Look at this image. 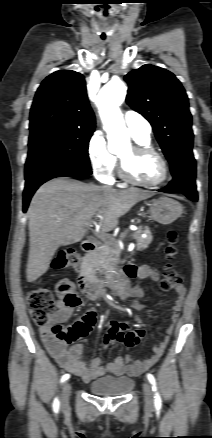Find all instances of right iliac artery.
Listing matches in <instances>:
<instances>
[{"mask_svg":"<svg viewBox=\"0 0 212 438\" xmlns=\"http://www.w3.org/2000/svg\"><path fill=\"white\" fill-rule=\"evenodd\" d=\"M69 378H70V375L69 374H65V375L62 376L61 382H64V381L68 380ZM59 405H60V403H59L58 398H55L54 402H53V409H54V411H58L59 410Z\"/></svg>","mask_w":212,"mask_h":438,"instance_id":"1","label":"right iliac artery"}]
</instances>
